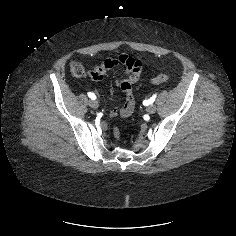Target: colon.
<instances>
[{
    "instance_id": "5ec220e1",
    "label": "colon",
    "mask_w": 236,
    "mask_h": 236,
    "mask_svg": "<svg viewBox=\"0 0 236 236\" xmlns=\"http://www.w3.org/2000/svg\"><path fill=\"white\" fill-rule=\"evenodd\" d=\"M70 72L74 77H83L86 74L84 67L78 62L70 63ZM169 77L170 76L166 73L159 74L152 79V83L154 84L164 83L169 79ZM113 134L117 140L120 139L121 133H120L119 128L115 127L113 129Z\"/></svg>"
}]
</instances>
